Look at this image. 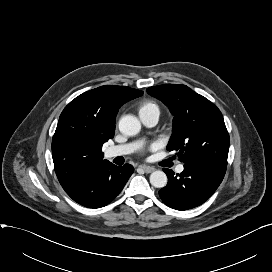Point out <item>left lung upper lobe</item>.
I'll return each mask as SVG.
<instances>
[{
    "label": "left lung upper lobe",
    "instance_id": "obj_1",
    "mask_svg": "<svg viewBox=\"0 0 272 272\" xmlns=\"http://www.w3.org/2000/svg\"><path fill=\"white\" fill-rule=\"evenodd\" d=\"M174 116L167 150L185 164L198 161L227 162L229 135L220 110L186 85L164 84L147 88Z\"/></svg>",
    "mask_w": 272,
    "mask_h": 272
}]
</instances>
